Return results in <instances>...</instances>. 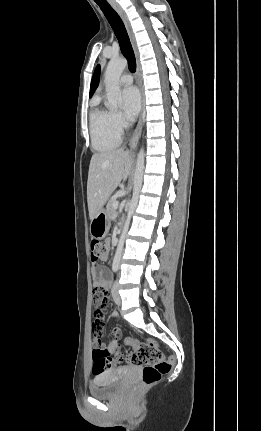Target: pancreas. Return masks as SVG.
<instances>
[{
	"label": "pancreas",
	"mask_w": 261,
	"mask_h": 431,
	"mask_svg": "<svg viewBox=\"0 0 261 431\" xmlns=\"http://www.w3.org/2000/svg\"><path fill=\"white\" fill-rule=\"evenodd\" d=\"M115 202H117L115 198H110L107 203L106 212L110 220H113L116 217V209L113 207Z\"/></svg>",
	"instance_id": "cf45deb5"
}]
</instances>
